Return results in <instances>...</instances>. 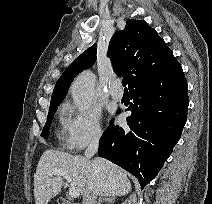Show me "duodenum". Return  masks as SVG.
Masks as SVG:
<instances>
[{"label":"duodenum","mask_w":212,"mask_h":204,"mask_svg":"<svg viewBox=\"0 0 212 204\" xmlns=\"http://www.w3.org/2000/svg\"><path fill=\"white\" fill-rule=\"evenodd\" d=\"M58 204H73V203H70L66 199H60Z\"/></svg>","instance_id":"1"}]
</instances>
